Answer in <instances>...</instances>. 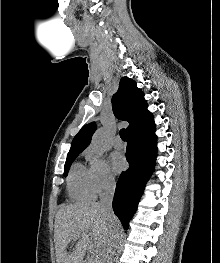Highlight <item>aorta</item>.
Returning <instances> with one entry per match:
<instances>
[{
	"instance_id": "762f6f07",
	"label": "aorta",
	"mask_w": 220,
	"mask_h": 263,
	"mask_svg": "<svg viewBox=\"0 0 220 263\" xmlns=\"http://www.w3.org/2000/svg\"><path fill=\"white\" fill-rule=\"evenodd\" d=\"M92 146L97 153L101 156L106 149V136L103 129L98 130L92 138Z\"/></svg>"
}]
</instances>
